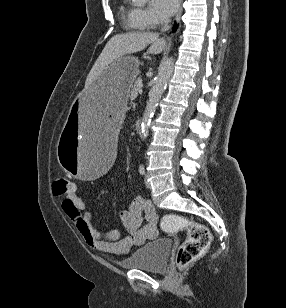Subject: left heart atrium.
I'll return each mask as SVG.
<instances>
[{"mask_svg": "<svg viewBox=\"0 0 286 308\" xmlns=\"http://www.w3.org/2000/svg\"><path fill=\"white\" fill-rule=\"evenodd\" d=\"M179 0H152L154 11L162 18L172 16L178 9Z\"/></svg>", "mask_w": 286, "mask_h": 308, "instance_id": "1", "label": "left heart atrium"}]
</instances>
